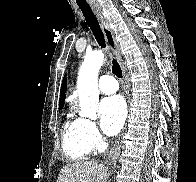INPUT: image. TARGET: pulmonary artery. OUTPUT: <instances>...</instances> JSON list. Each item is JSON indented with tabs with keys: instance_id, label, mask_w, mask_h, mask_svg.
I'll return each instance as SVG.
<instances>
[{
	"instance_id": "obj_1",
	"label": "pulmonary artery",
	"mask_w": 196,
	"mask_h": 182,
	"mask_svg": "<svg viewBox=\"0 0 196 182\" xmlns=\"http://www.w3.org/2000/svg\"><path fill=\"white\" fill-rule=\"evenodd\" d=\"M98 88L104 94H112L118 90L117 80L110 75L102 76L98 81Z\"/></svg>"
}]
</instances>
